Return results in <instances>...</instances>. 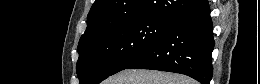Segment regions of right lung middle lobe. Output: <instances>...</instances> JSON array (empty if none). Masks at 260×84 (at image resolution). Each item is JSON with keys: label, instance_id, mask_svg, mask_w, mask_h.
Segmentation results:
<instances>
[{"label": "right lung middle lobe", "instance_id": "obj_1", "mask_svg": "<svg viewBox=\"0 0 260 84\" xmlns=\"http://www.w3.org/2000/svg\"><path fill=\"white\" fill-rule=\"evenodd\" d=\"M172 20L149 17L118 24L78 46L80 84H98L126 69L164 33Z\"/></svg>", "mask_w": 260, "mask_h": 84}]
</instances>
